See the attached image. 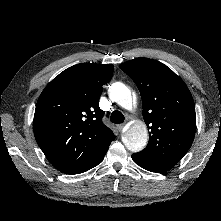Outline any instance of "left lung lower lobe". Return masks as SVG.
<instances>
[{"label": "left lung lower lobe", "instance_id": "0a47b994", "mask_svg": "<svg viewBox=\"0 0 221 221\" xmlns=\"http://www.w3.org/2000/svg\"><path fill=\"white\" fill-rule=\"evenodd\" d=\"M132 159L136 164H138L140 167L151 171V172H157L162 173L170 170L174 167V165L162 162L159 160H156L154 158L143 156L139 153L132 154Z\"/></svg>", "mask_w": 221, "mask_h": 221}]
</instances>
